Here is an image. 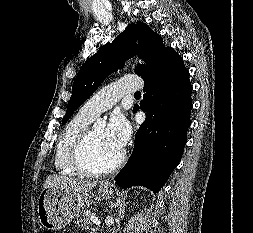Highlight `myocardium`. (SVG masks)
<instances>
[{
    "label": "myocardium",
    "mask_w": 253,
    "mask_h": 233,
    "mask_svg": "<svg viewBox=\"0 0 253 233\" xmlns=\"http://www.w3.org/2000/svg\"><path fill=\"white\" fill-rule=\"evenodd\" d=\"M91 138L92 129H87L86 132L76 142L72 151L71 163L80 174L87 176L105 175L114 171L123 163L125 159V153L121 151L114 161L103 167L94 168L90 166L86 160V154L90 146Z\"/></svg>",
    "instance_id": "myocardium-1"
}]
</instances>
